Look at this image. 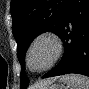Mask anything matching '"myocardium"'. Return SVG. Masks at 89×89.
I'll use <instances>...</instances> for the list:
<instances>
[{
	"label": "myocardium",
	"instance_id": "f54148a6",
	"mask_svg": "<svg viewBox=\"0 0 89 89\" xmlns=\"http://www.w3.org/2000/svg\"><path fill=\"white\" fill-rule=\"evenodd\" d=\"M43 39L51 40L54 43L55 54H54L51 62L47 66H45L41 69H34L31 67V64H30V54H31L33 47L39 41H41ZM63 50H64V44H63L61 37L52 30H44V31L40 32L39 34H37L31 41V43L29 44L27 52H26V65H27L28 69L32 72H43V71L49 70L54 65H56V63L59 61V59L61 58V56L63 54Z\"/></svg>",
	"mask_w": 89,
	"mask_h": 89
}]
</instances>
